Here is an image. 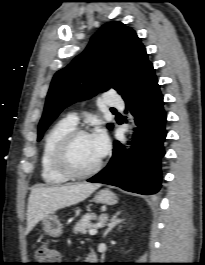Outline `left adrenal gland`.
Returning a JSON list of instances; mask_svg holds the SVG:
<instances>
[{
  "instance_id": "obj_1",
  "label": "left adrenal gland",
  "mask_w": 205,
  "mask_h": 265,
  "mask_svg": "<svg viewBox=\"0 0 205 265\" xmlns=\"http://www.w3.org/2000/svg\"><path fill=\"white\" fill-rule=\"evenodd\" d=\"M120 214V211L116 212L112 218L110 219V222L107 224L108 228L105 230L103 237H106L107 234L118 224H120L123 220L118 219V215Z\"/></svg>"
}]
</instances>
